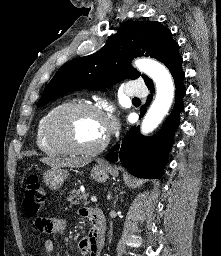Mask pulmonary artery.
<instances>
[{
	"instance_id": "obj_1",
	"label": "pulmonary artery",
	"mask_w": 221,
	"mask_h": 256,
	"mask_svg": "<svg viewBox=\"0 0 221 256\" xmlns=\"http://www.w3.org/2000/svg\"><path fill=\"white\" fill-rule=\"evenodd\" d=\"M147 92L146 85L140 80L131 81L125 87V94L130 97H144Z\"/></svg>"
}]
</instances>
